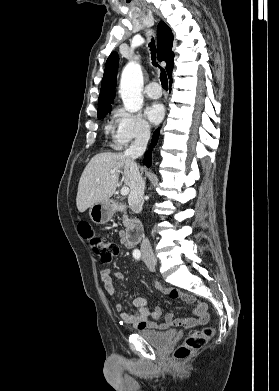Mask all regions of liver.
I'll list each match as a JSON object with an SVG mask.
<instances>
[{
  "label": "liver",
  "mask_w": 279,
  "mask_h": 391,
  "mask_svg": "<svg viewBox=\"0 0 279 391\" xmlns=\"http://www.w3.org/2000/svg\"><path fill=\"white\" fill-rule=\"evenodd\" d=\"M130 163V159L122 153L105 152L95 155L85 167L78 184L76 205L79 212L108 200L116 190L122 170L124 183L130 187Z\"/></svg>",
  "instance_id": "obj_1"
}]
</instances>
